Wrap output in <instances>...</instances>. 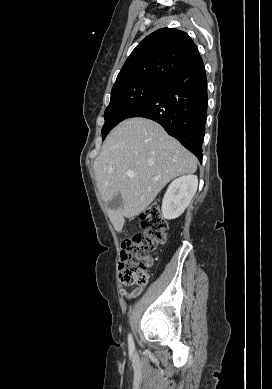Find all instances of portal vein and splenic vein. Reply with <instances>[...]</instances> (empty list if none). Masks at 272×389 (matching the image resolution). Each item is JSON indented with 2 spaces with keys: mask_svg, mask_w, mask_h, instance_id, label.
Listing matches in <instances>:
<instances>
[{
  "mask_svg": "<svg viewBox=\"0 0 272 389\" xmlns=\"http://www.w3.org/2000/svg\"><path fill=\"white\" fill-rule=\"evenodd\" d=\"M127 176L133 178V177H135V174L132 171H128Z\"/></svg>",
  "mask_w": 272,
  "mask_h": 389,
  "instance_id": "18ae733b",
  "label": "portal vein and splenic vein"
}]
</instances>
